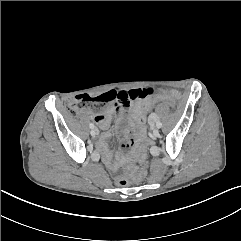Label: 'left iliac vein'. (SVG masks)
<instances>
[{"label":"left iliac vein","instance_id":"obj_1","mask_svg":"<svg viewBox=\"0 0 241 241\" xmlns=\"http://www.w3.org/2000/svg\"><path fill=\"white\" fill-rule=\"evenodd\" d=\"M158 133H159L158 129H157L156 127L153 128V134H154V135H158Z\"/></svg>","mask_w":241,"mask_h":241}]
</instances>
